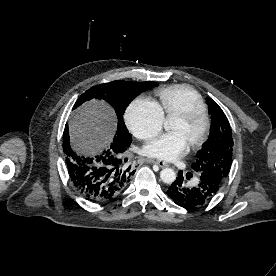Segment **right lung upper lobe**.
<instances>
[{
	"mask_svg": "<svg viewBox=\"0 0 276 276\" xmlns=\"http://www.w3.org/2000/svg\"><path fill=\"white\" fill-rule=\"evenodd\" d=\"M113 143H117L118 145L126 144V143H123V142H113Z\"/></svg>",
	"mask_w": 276,
	"mask_h": 276,
	"instance_id": "1",
	"label": "right lung upper lobe"
}]
</instances>
